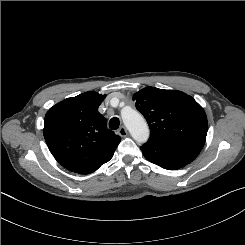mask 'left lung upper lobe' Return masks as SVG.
<instances>
[{"mask_svg":"<svg viewBox=\"0 0 245 245\" xmlns=\"http://www.w3.org/2000/svg\"><path fill=\"white\" fill-rule=\"evenodd\" d=\"M136 108L150 127L149 141L198 156L208 125L203 108L177 90L146 87L133 95Z\"/></svg>","mask_w":245,"mask_h":245,"instance_id":"1","label":"left lung upper lobe"}]
</instances>
